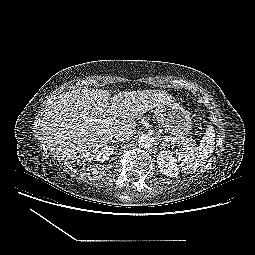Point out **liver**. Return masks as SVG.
<instances>
[{
    "mask_svg": "<svg viewBox=\"0 0 255 255\" xmlns=\"http://www.w3.org/2000/svg\"><path fill=\"white\" fill-rule=\"evenodd\" d=\"M109 90L77 89L62 93L41 120L44 142L56 156L66 160L94 159L99 148L122 129H134L135 118L157 107L171 96L160 90L123 91L109 101ZM111 115L123 120L104 123Z\"/></svg>",
    "mask_w": 255,
    "mask_h": 255,
    "instance_id": "liver-1",
    "label": "liver"
}]
</instances>
